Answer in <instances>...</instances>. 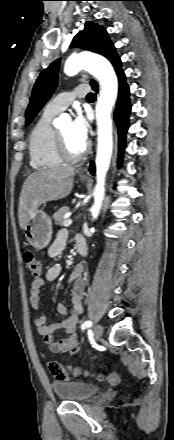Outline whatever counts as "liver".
Masks as SVG:
<instances>
[{"mask_svg":"<svg viewBox=\"0 0 174 440\" xmlns=\"http://www.w3.org/2000/svg\"><path fill=\"white\" fill-rule=\"evenodd\" d=\"M74 175L73 167L42 168L30 174L19 197L20 228L24 229L42 204L67 197L73 189Z\"/></svg>","mask_w":174,"mask_h":440,"instance_id":"1","label":"liver"}]
</instances>
